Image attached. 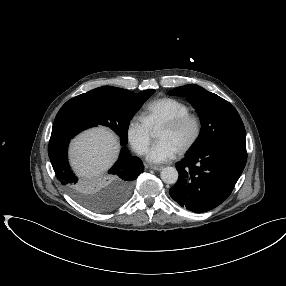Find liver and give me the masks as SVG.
<instances>
[{
    "label": "liver",
    "mask_w": 286,
    "mask_h": 286,
    "mask_svg": "<svg viewBox=\"0 0 286 286\" xmlns=\"http://www.w3.org/2000/svg\"><path fill=\"white\" fill-rule=\"evenodd\" d=\"M117 137L105 128L87 130L72 140L70 164L85 179L98 177L115 162L119 153Z\"/></svg>",
    "instance_id": "obj_1"
}]
</instances>
